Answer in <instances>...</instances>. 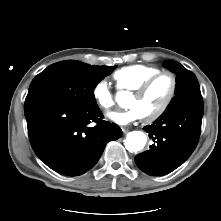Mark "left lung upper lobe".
<instances>
[{
  "label": "left lung upper lobe",
  "mask_w": 221,
  "mask_h": 221,
  "mask_svg": "<svg viewBox=\"0 0 221 221\" xmlns=\"http://www.w3.org/2000/svg\"><path fill=\"white\" fill-rule=\"evenodd\" d=\"M164 66L172 71H177L176 96L165 111L174 108L178 104L186 102L190 97L201 95L199 83L194 73L187 70L178 62L168 61L165 62Z\"/></svg>",
  "instance_id": "obj_1"
}]
</instances>
